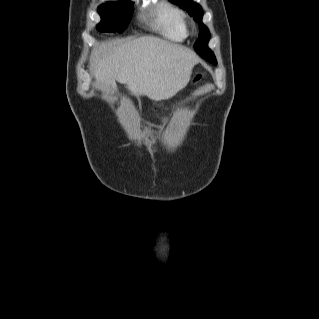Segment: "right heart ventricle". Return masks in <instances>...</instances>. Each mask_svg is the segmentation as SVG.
<instances>
[{
	"label": "right heart ventricle",
	"instance_id": "right-heart-ventricle-1",
	"mask_svg": "<svg viewBox=\"0 0 319 319\" xmlns=\"http://www.w3.org/2000/svg\"><path fill=\"white\" fill-rule=\"evenodd\" d=\"M153 26L163 38L171 41L180 42L188 36L185 15L167 1H161L156 7Z\"/></svg>",
	"mask_w": 319,
	"mask_h": 319
}]
</instances>
